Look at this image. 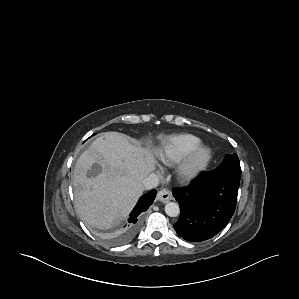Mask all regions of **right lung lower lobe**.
Returning <instances> with one entry per match:
<instances>
[{
    "instance_id": "98d812e1",
    "label": "right lung lower lobe",
    "mask_w": 299,
    "mask_h": 299,
    "mask_svg": "<svg viewBox=\"0 0 299 299\" xmlns=\"http://www.w3.org/2000/svg\"><path fill=\"white\" fill-rule=\"evenodd\" d=\"M157 191L154 189L150 191L149 193L143 195L140 197L138 203L136 204L135 208L130 214V218L128 220V223L124 226L121 233L115 238V242H125L129 240L135 233L141 216L143 212L147 211L149 206L152 205L155 197H156Z\"/></svg>"
}]
</instances>
